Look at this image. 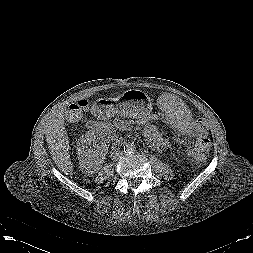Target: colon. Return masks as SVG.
<instances>
[{
  "label": "colon",
  "instance_id": "1",
  "mask_svg": "<svg viewBox=\"0 0 253 253\" xmlns=\"http://www.w3.org/2000/svg\"><path fill=\"white\" fill-rule=\"evenodd\" d=\"M90 106V100L87 98L79 99L74 103L70 104L66 111V118L69 122H75L82 118L84 113ZM203 126L204 134L201 142L206 146L207 151L210 148V140L207 137V126L203 120H199Z\"/></svg>",
  "mask_w": 253,
  "mask_h": 253
}]
</instances>
